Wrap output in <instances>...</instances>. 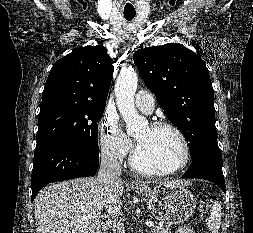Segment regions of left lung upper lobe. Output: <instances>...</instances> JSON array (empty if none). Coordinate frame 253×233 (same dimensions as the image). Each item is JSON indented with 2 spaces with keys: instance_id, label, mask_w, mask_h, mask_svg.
Returning a JSON list of instances; mask_svg holds the SVG:
<instances>
[{
  "instance_id": "left-lung-upper-lobe-1",
  "label": "left lung upper lobe",
  "mask_w": 253,
  "mask_h": 233,
  "mask_svg": "<svg viewBox=\"0 0 253 233\" xmlns=\"http://www.w3.org/2000/svg\"><path fill=\"white\" fill-rule=\"evenodd\" d=\"M133 57L165 115L189 142L192 158L204 150L220 152L213 87L201 57L176 43L140 49Z\"/></svg>"
}]
</instances>
